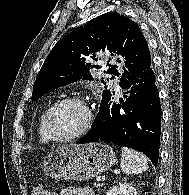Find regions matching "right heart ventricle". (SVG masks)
Masks as SVG:
<instances>
[{
	"label": "right heart ventricle",
	"instance_id": "obj_1",
	"mask_svg": "<svg viewBox=\"0 0 189 195\" xmlns=\"http://www.w3.org/2000/svg\"><path fill=\"white\" fill-rule=\"evenodd\" d=\"M54 103H51L40 115L39 120H38V134H39V138L42 142L46 143L49 142L51 139L49 138V136L47 135V132L45 130V126H44V120H45V116L46 113L48 111V109L53 105Z\"/></svg>",
	"mask_w": 189,
	"mask_h": 195
}]
</instances>
